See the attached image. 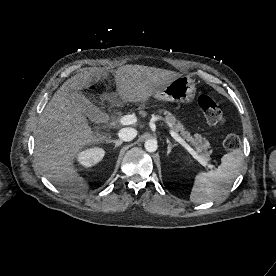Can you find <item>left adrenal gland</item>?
Returning <instances> with one entry per match:
<instances>
[{
	"instance_id": "left-adrenal-gland-1",
	"label": "left adrenal gland",
	"mask_w": 276,
	"mask_h": 276,
	"mask_svg": "<svg viewBox=\"0 0 276 276\" xmlns=\"http://www.w3.org/2000/svg\"><path fill=\"white\" fill-rule=\"evenodd\" d=\"M167 144H168V147H167V155H169L171 153V150L172 148H174L176 145H172L171 142L169 141V139L167 138Z\"/></svg>"
}]
</instances>
